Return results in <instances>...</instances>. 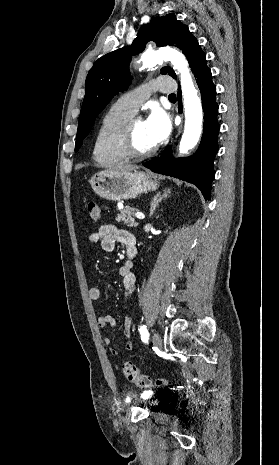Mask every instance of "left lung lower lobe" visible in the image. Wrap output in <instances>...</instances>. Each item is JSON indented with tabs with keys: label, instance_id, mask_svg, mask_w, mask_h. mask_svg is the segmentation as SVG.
Wrapping results in <instances>:
<instances>
[{
	"label": "left lung lower lobe",
	"instance_id": "obj_1",
	"mask_svg": "<svg viewBox=\"0 0 279 465\" xmlns=\"http://www.w3.org/2000/svg\"><path fill=\"white\" fill-rule=\"evenodd\" d=\"M192 72L200 89L204 111L203 135L197 152L188 158H174L170 146L164 150L160 158L154 159L144 166L155 173L179 178L196 185L205 199L209 200L211 182L215 176L213 162L218 152L217 137L220 126L217 121L216 87L212 82L205 54L198 58ZM181 111L180 106L179 112Z\"/></svg>",
	"mask_w": 279,
	"mask_h": 465
}]
</instances>
